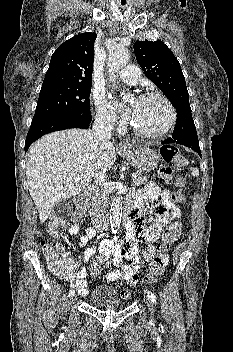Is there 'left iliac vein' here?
<instances>
[{"label": "left iliac vein", "instance_id": "4c4485c4", "mask_svg": "<svg viewBox=\"0 0 233 352\" xmlns=\"http://www.w3.org/2000/svg\"><path fill=\"white\" fill-rule=\"evenodd\" d=\"M144 302H145V304H146L148 310H149L151 313H153V304H152L151 299H150L148 296H146V297H144Z\"/></svg>", "mask_w": 233, "mask_h": 352}]
</instances>
